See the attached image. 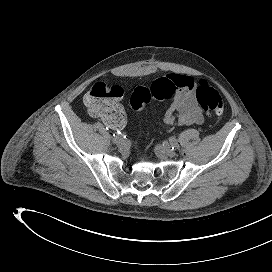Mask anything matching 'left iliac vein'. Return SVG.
<instances>
[{"label":"left iliac vein","mask_w":272,"mask_h":272,"mask_svg":"<svg viewBox=\"0 0 272 272\" xmlns=\"http://www.w3.org/2000/svg\"><path fill=\"white\" fill-rule=\"evenodd\" d=\"M157 150L159 153L167 155L169 157H174L176 155V152L172 150L171 146L168 143L157 146Z\"/></svg>","instance_id":"obj_1"}]
</instances>
